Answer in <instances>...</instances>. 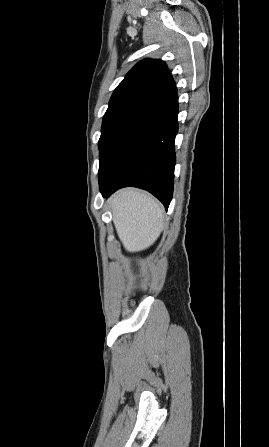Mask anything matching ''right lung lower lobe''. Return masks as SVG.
Listing matches in <instances>:
<instances>
[{"mask_svg":"<svg viewBox=\"0 0 269 447\" xmlns=\"http://www.w3.org/2000/svg\"><path fill=\"white\" fill-rule=\"evenodd\" d=\"M177 114V88L173 86L118 124L100 153L103 197L134 186L152 193L168 209L176 163Z\"/></svg>","mask_w":269,"mask_h":447,"instance_id":"1","label":"right lung lower lobe"}]
</instances>
